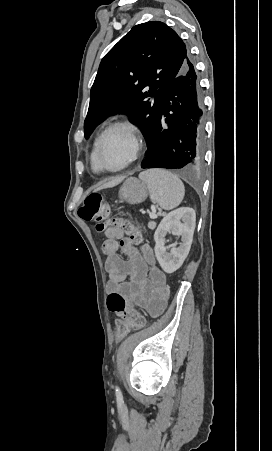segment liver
<instances>
[{
	"mask_svg": "<svg viewBox=\"0 0 272 451\" xmlns=\"http://www.w3.org/2000/svg\"><path fill=\"white\" fill-rule=\"evenodd\" d=\"M125 176H121V178H114L112 182H107V184H104L103 188H113V186H117V184H120L122 180H124Z\"/></svg>",
	"mask_w": 272,
	"mask_h": 451,
	"instance_id": "obj_1",
	"label": "liver"
}]
</instances>
